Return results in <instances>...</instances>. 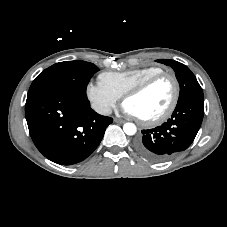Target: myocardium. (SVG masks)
Masks as SVG:
<instances>
[{"label": "myocardium", "mask_w": 227, "mask_h": 227, "mask_svg": "<svg viewBox=\"0 0 227 227\" xmlns=\"http://www.w3.org/2000/svg\"><path fill=\"white\" fill-rule=\"evenodd\" d=\"M163 78H169L173 83L174 92H173L172 100H171L170 104L168 105V107L160 115L150 118V119H143V118L138 117V120L144 125H147V126L158 125V124L166 121L173 114V112L175 111V109L178 105L179 98H180V84H179L177 77L171 72L163 71L161 73L155 74V75L145 79L141 83H139L136 86L129 89L123 95V103H125L127 99L140 95L141 93L146 91L149 87H151L154 83H156L157 81H159L160 79H163Z\"/></svg>", "instance_id": "myocardium-1"}]
</instances>
